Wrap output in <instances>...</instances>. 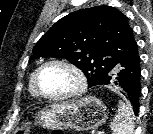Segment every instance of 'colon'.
Masks as SVG:
<instances>
[{"instance_id":"colon-1","label":"colon","mask_w":153,"mask_h":134,"mask_svg":"<svg viewBox=\"0 0 153 134\" xmlns=\"http://www.w3.org/2000/svg\"><path fill=\"white\" fill-rule=\"evenodd\" d=\"M54 134H63L61 131H55Z\"/></svg>"}]
</instances>
